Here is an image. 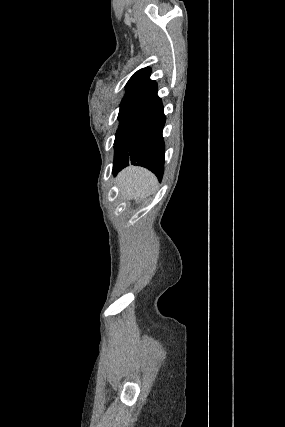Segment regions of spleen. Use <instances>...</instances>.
Masks as SVG:
<instances>
[{
	"label": "spleen",
	"instance_id": "spleen-1",
	"mask_svg": "<svg viewBox=\"0 0 285 427\" xmlns=\"http://www.w3.org/2000/svg\"><path fill=\"white\" fill-rule=\"evenodd\" d=\"M122 189L130 192L136 202L146 200L157 186L156 177L146 169L131 167L120 176Z\"/></svg>",
	"mask_w": 285,
	"mask_h": 427
}]
</instances>
